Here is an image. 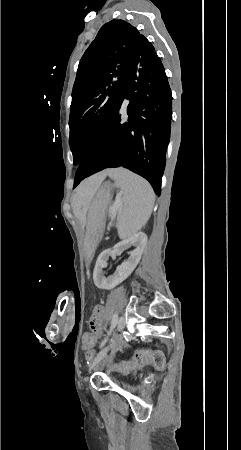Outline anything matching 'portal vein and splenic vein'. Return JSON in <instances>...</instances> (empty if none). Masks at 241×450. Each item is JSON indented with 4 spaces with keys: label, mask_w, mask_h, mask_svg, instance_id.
Here are the masks:
<instances>
[{
    "label": "portal vein and splenic vein",
    "mask_w": 241,
    "mask_h": 450,
    "mask_svg": "<svg viewBox=\"0 0 241 450\" xmlns=\"http://www.w3.org/2000/svg\"><path fill=\"white\" fill-rule=\"evenodd\" d=\"M108 209H110V213H117V209H120V204H118V202L108 204Z\"/></svg>",
    "instance_id": "1"
}]
</instances>
